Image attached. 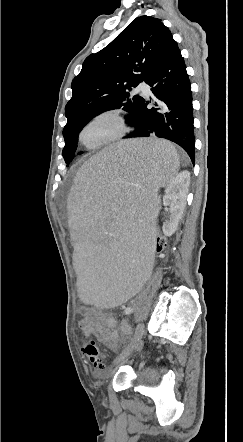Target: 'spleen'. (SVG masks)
Returning <instances> with one entry per match:
<instances>
[{"mask_svg":"<svg viewBox=\"0 0 243 442\" xmlns=\"http://www.w3.org/2000/svg\"><path fill=\"white\" fill-rule=\"evenodd\" d=\"M179 167L175 147L158 139L100 147V153L82 163L68 194L79 302L123 307L146 291L156 253L151 233L159 210L156 192L174 179Z\"/></svg>","mask_w":243,"mask_h":442,"instance_id":"spleen-1","label":"spleen"}]
</instances>
